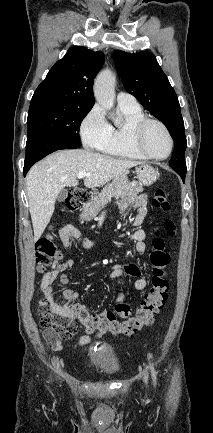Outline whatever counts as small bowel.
Listing matches in <instances>:
<instances>
[{
    "instance_id": "small-bowel-1",
    "label": "small bowel",
    "mask_w": 213,
    "mask_h": 433,
    "mask_svg": "<svg viewBox=\"0 0 213 433\" xmlns=\"http://www.w3.org/2000/svg\"><path fill=\"white\" fill-rule=\"evenodd\" d=\"M130 207H134L137 210V213L132 220V226L135 227L136 230L132 233L131 239L134 242L135 250L140 254H144L147 251V246L145 243L146 233L143 229H140L139 227L142 225L147 215L146 195L137 194L128 197L123 200L120 205L122 212H126ZM61 239L65 248H69L74 241H79L81 245L85 248H90L93 245V242L85 240L82 237L80 230L73 225H67L62 229ZM73 263V258H70L63 263L54 264L52 268L44 274L41 282V292L44 296L42 304L45 305L51 315L64 320H74L75 315L70 307L61 305L55 299L54 283L57 277L63 272H65L67 269H69L73 265ZM123 274L135 278L133 286L136 290H143L146 288L147 280L141 277L140 269L136 265L126 264L115 265L113 267V276H121ZM77 297V293H72V299H76ZM76 331L77 328H75V332ZM104 335L105 333L86 330V333L81 336L77 341V346H85L91 342L92 337H102ZM43 336L47 343L54 350L60 351L64 348L61 343V337H59L54 330L45 329L43 332ZM52 337H55V341H52Z\"/></svg>"
}]
</instances>
